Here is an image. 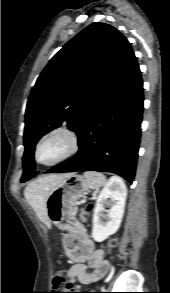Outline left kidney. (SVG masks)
Masks as SVG:
<instances>
[{
	"label": "left kidney",
	"mask_w": 170,
	"mask_h": 293,
	"mask_svg": "<svg viewBox=\"0 0 170 293\" xmlns=\"http://www.w3.org/2000/svg\"><path fill=\"white\" fill-rule=\"evenodd\" d=\"M126 196V185L119 177H112L101 190L93 213L92 238L96 242L104 241L119 229ZM105 206L109 209L106 210ZM101 218H105L106 221H102Z\"/></svg>",
	"instance_id": "left-kidney-1"
}]
</instances>
